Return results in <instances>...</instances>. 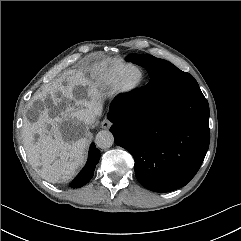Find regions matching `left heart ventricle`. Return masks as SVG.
Wrapping results in <instances>:
<instances>
[{
    "label": "left heart ventricle",
    "instance_id": "1",
    "mask_svg": "<svg viewBox=\"0 0 241 241\" xmlns=\"http://www.w3.org/2000/svg\"><path fill=\"white\" fill-rule=\"evenodd\" d=\"M140 76L139 71L136 68L130 69L125 76L126 81L133 82L136 81Z\"/></svg>",
    "mask_w": 241,
    "mask_h": 241
}]
</instances>
